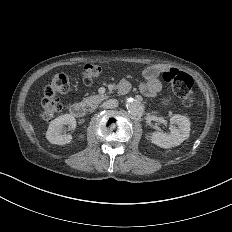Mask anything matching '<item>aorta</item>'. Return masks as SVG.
<instances>
[{"instance_id":"762f6f07","label":"aorta","mask_w":232,"mask_h":232,"mask_svg":"<svg viewBox=\"0 0 232 232\" xmlns=\"http://www.w3.org/2000/svg\"><path fill=\"white\" fill-rule=\"evenodd\" d=\"M126 107L128 112L134 117L141 116L144 113V107L137 99L128 98L126 101Z\"/></svg>"}]
</instances>
